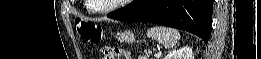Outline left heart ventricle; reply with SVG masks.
I'll return each instance as SVG.
<instances>
[{"mask_svg":"<svg viewBox=\"0 0 261 59\" xmlns=\"http://www.w3.org/2000/svg\"><path fill=\"white\" fill-rule=\"evenodd\" d=\"M117 2H118V0H92V1H90V3L93 5L94 8H99V9L108 8Z\"/></svg>","mask_w":261,"mask_h":59,"instance_id":"1","label":"left heart ventricle"}]
</instances>
